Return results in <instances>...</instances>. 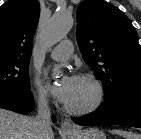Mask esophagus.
<instances>
[{"instance_id": "1", "label": "esophagus", "mask_w": 141, "mask_h": 139, "mask_svg": "<svg viewBox=\"0 0 141 139\" xmlns=\"http://www.w3.org/2000/svg\"><path fill=\"white\" fill-rule=\"evenodd\" d=\"M61 128H62L64 131H71V130L74 129V127L72 126V124H71L69 121H64V122H62Z\"/></svg>"}]
</instances>
